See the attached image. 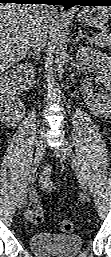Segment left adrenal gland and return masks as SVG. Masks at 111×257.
Returning <instances> with one entry per match:
<instances>
[{
  "mask_svg": "<svg viewBox=\"0 0 111 257\" xmlns=\"http://www.w3.org/2000/svg\"><path fill=\"white\" fill-rule=\"evenodd\" d=\"M83 37L89 39L86 34L82 33L81 28H79L78 36L75 38V44L78 43L80 41V39H82Z\"/></svg>",
  "mask_w": 111,
  "mask_h": 257,
  "instance_id": "a2214340",
  "label": "left adrenal gland"
}]
</instances>
